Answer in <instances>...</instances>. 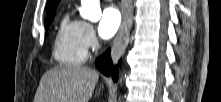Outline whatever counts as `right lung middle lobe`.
Returning a JSON list of instances; mask_svg holds the SVG:
<instances>
[{
	"label": "right lung middle lobe",
	"instance_id": "1",
	"mask_svg": "<svg viewBox=\"0 0 221 102\" xmlns=\"http://www.w3.org/2000/svg\"><path fill=\"white\" fill-rule=\"evenodd\" d=\"M55 13H52L50 15H48L44 21L45 27L47 28L48 25L50 24V22L52 21L53 17H54Z\"/></svg>",
	"mask_w": 221,
	"mask_h": 102
}]
</instances>
